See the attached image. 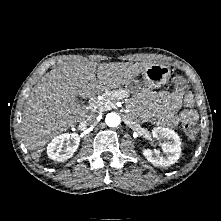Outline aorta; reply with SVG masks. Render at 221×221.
<instances>
[{
  "instance_id": "1",
  "label": "aorta",
  "mask_w": 221,
  "mask_h": 221,
  "mask_svg": "<svg viewBox=\"0 0 221 221\" xmlns=\"http://www.w3.org/2000/svg\"><path fill=\"white\" fill-rule=\"evenodd\" d=\"M106 124L109 127H116L120 124V117L116 113H108L105 118Z\"/></svg>"
}]
</instances>
